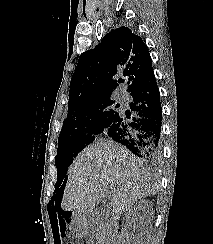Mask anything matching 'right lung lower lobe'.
<instances>
[{
    "instance_id": "98d812e1",
    "label": "right lung lower lobe",
    "mask_w": 213,
    "mask_h": 244,
    "mask_svg": "<svg viewBox=\"0 0 213 244\" xmlns=\"http://www.w3.org/2000/svg\"><path fill=\"white\" fill-rule=\"evenodd\" d=\"M130 95L133 97L130 108L134 114H118L103 133L125 145L136 156L156 161L161 154L162 108L153 70Z\"/></svg>"
}]
</instances>
